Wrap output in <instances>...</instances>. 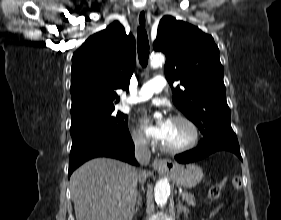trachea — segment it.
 <instances>
[{"label": "trachea", "mask_w": 281, "mask_h": 220, "mask_svg": "<svg viewBox=\"0 0 281 220\" xmlns=\"http://www.w3.org/2000/svg\"><path fill=\"white\" fill-rule=\"evenodd\" d=\"M137 50L140 64L146 67L149 58V41L148 36L143 27L137 29Z\"/></svg>", "instance_id": "1"}]
</instances>
